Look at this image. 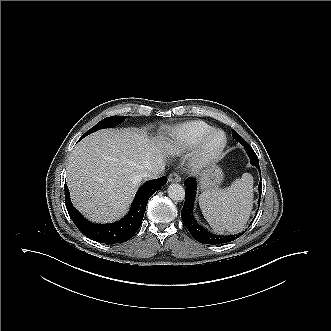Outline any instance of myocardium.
I'll return each mask as SVG.
<instances>
[{"instance_id":"f54148a6","label":"myocardium","mask_w":331,"mask_h":331,"mask_svg":"<svg viewBox=\"0 0 331 331\" xmlns=\"http://www.w3.org/2000/svg\"><path fill=\"white\" fill-rule=\"evenodd\" d=\"M220 134L222 140L217 146H211L212 138ZM227 145V137L222 130L212 129L205 134L194 146L191 153V162L194 167H203L217 161Z\"/></svg>"}]
</instances>
